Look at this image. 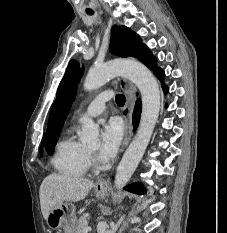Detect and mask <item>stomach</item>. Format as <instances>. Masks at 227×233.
<instances>
[{"label": "stomach", "instance_id": "0dacf381", "mask_svg": "<svg viewBox=\"0 0 227 233\" xmlns=\"http://www.w3.org/2000/svg\"><path fill=\"white\" fill-rule=\"evenodd\" d=\"M94 193L97 198H104L108 193V188L95 186ZM76 221L75 206L65 202L50 212L47 224L52 229H62L64 233H74Z\"/></svg>", "mask_w": 227, "mask_h": 233}]
</instances>
